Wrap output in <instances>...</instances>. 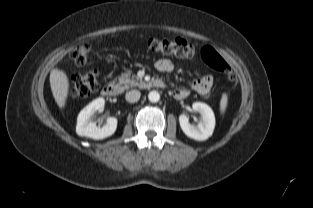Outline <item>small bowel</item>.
Masks as SVG:
<instances>
[{"mask_svg":"<svg viewBox=\"0 0 313 208\" xmlns=\"http://www.w3.org/2000/svg\"><path fill=\"white\" fill-rule=\"evenodd\" d=\"M156 69L162 73H170L174 66L173 63L168 59H160L155 64ZM213 85V78L210 75H206L200 78H196L192 81L191 90L194 92L205 95L207 94ZM190 94V90L185 88H179L173 91V96L176 99H185Z\"/></svg>","mask_w":313,"mask_h":208,"instance_id":"c3829d8e","label":"small bowel"}]
</instances>
